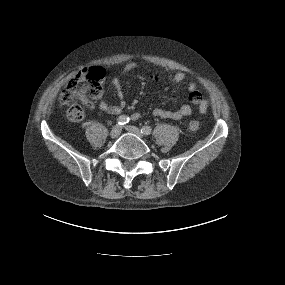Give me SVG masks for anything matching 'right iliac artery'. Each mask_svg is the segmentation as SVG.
Wrapping results in <instances>:
<instances>
[{
  "instance_id": "obj_1",
  "label": "right iliac artery",
  "mask_w": 285,
  "mask_h": 285,
  "mask_svg": "<svg viewBox=\"0 0 285 285\" xmlns=\"http://www.w3.org/2000/svg\"><path fill=\"white\" fill-rule=\"evenodd\" d=\"M129 117L128 116H126V115H121V116H119V118L117 119V123L119 124V125H125V124H127L128 122H129Z\"/></svg>"
}]
</instances>
